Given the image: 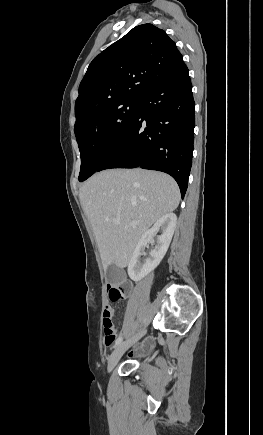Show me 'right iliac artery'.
<instances>
[{
    "label": "right iliac artery",
    "mask_w": 263,
    "mask_h": 435,
    "mask_svg": "<svg viewBox=\"0 0 263 435\" xmlns=\"http://www.w3.org/2000/svg\"><path fill=\"white\" fill-rule=\"evenodd\" d=\"M122 340H123V338L119 337L115 342L114 348H116L119 344H121Z\"/></svg>",
    "instance_id": "right-iliac-artery-1"
}]
</instances>
